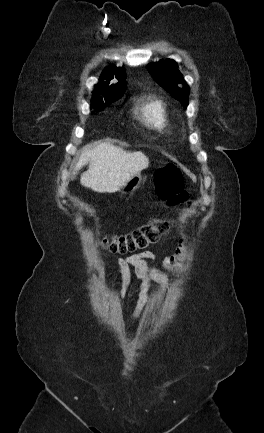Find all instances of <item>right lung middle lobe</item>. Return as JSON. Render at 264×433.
<instances>
[{
    "label": "right lung middle lobe",
    "mask_w": 264,
    "mask_h": 433,
    "mask_svg": "<svg viewBox=\"0 0 264 433\" xmlns=\"http://www.w3.org/2000/svg\"><path fill=\"white\" fill-rule=\"evenodd\" d=\"M119 98H115V99H111L108 101H103V100H92V104H91V108H94L96 111H100L103 108H105V106L107 104H110L112 102H115L116 100H118Z\"/></svg>",
    "instance_id": "right-lung-middle-lobe-1"
}]
</instances>
